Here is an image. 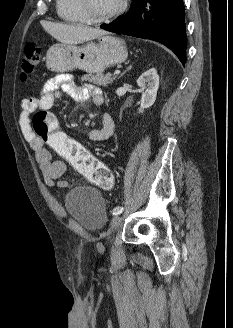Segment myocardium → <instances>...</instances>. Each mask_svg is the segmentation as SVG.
<instances>
[{"instance_id":"myocardium-1","label":"myocardium","mask_w":233,"mask_h":328,"mask_svg":"<svg viewBox=\"0 0 233 328\" xmlns=\"http://www.w3.org/2000/svg\"><path fill=\"white\" fill-rule=\"evenodd\" d=\"M80 10L82 11L85 21L90 24H102L111 21L112 19L121 15L126 7L127 0H121L118 7L113 11L109 12L103 16H94L90 13L89 2L88 0H77Z\"/></svg>"}]
</instances>
